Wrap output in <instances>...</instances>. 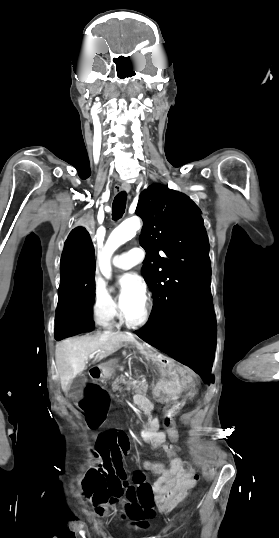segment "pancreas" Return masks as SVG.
<instances>
[{"label": "pancreas", "mask_w": 279, "mask_h": 538, "mask_svg": "<svg viewBox=\"0 0 279 538\" xmlns=\"http://www.w3.org/2000/svg\"><path fill=\"white\" fill-rule=\"evenodd\" d=\"M123 380H125V376H119V378H116V380H114V382H112L111 384V388H112V392H120V390H122V388H120L119 384H121V382H123ZM148 384V381L147 380H140V379H137L135 381V383L133 384V391L131 392V395L133 397H142V396H146L147 395V388H145V385ZM130 386H132V384H128V388H126V390H130Z\"/></svg>", "instance_id": "cf45deb5"}]
</instances>
